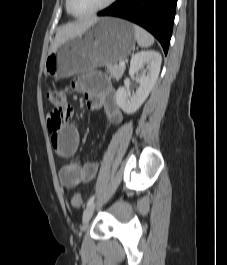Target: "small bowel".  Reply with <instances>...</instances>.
<instances>
[{"label":"small bowel","instance_id":"c3829d8e","mask_svg":"<svg viewBox=\"0 0 227 265\" xmlns=\"http://www.w3.org/2000/svg\"><path fill=\"white\" fill-rule=\"evenodd\" d=\"M105 76V72H85L83 77L72 83V88L84 95L89 110H103L111 124L119 125L123 122L124 115L116 102L115 91ZM79 140L76 126L69 124L52 134L51 144L58 157L69 159L75 155ZM97 171L98 163L95 161L84 164L71 161L61 169L60 180L66 188H75L91 181Z\"/></svg>","mask_w":227,"mask_h":265}]
</instances>
